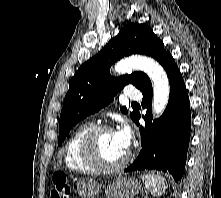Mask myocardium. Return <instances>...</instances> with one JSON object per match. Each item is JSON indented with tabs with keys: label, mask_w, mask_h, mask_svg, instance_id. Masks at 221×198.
<instances>
[{
	"label": "myocardium",
	"mask_w": 221,
	"mask_h": 198,
	"mask_svg": "<svg viewBox=\"0 0 221 198\" xmlns=\"http://www.w3.org/2000/svg\"><path fill=\"white\" fill-rule=\"evenodd\" d=\"M113 131V128L106 124L93 126L85 135L82 141V155L84 160L92 166L96 171L101 172H115L124 168L131 157L130 151H127L124 158L114 164L105 163L98 151V140L102 133Z\"/></svg>",
	"instance_id": "myocardium-1"
}]
</instances>
